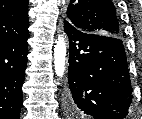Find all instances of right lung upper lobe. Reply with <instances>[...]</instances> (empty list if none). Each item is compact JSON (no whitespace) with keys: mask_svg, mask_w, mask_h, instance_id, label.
I'll return each instance as SVG.
<instances>
[{"mask_svg":"<svg viewBox=\"0 0 142 119\" xmlns=\"http://www.w3.org/2000/svg\"><path fill=\"white\" fill-rule=\"evenodd\" d=\"M28 0H0V44L28 33Z\"/></svg>","mask_w":142,"mask_h":119,"instance_id":"1","label":"right lung upper lobe"}]
</instances>
